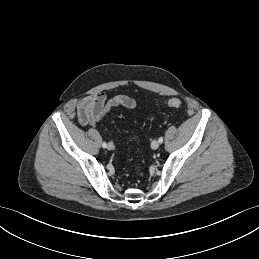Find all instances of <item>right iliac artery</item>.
Listing matches in <instances>:
<instances>
[{
    "label": "right iliac artery",
    "mask_w": 259,
    "mask_h": 259,
    "mask_svg": "<svg viewBox=\"0 0 259 259\" xmlns=\"http://www.w3.org/2000/svg\"><path fill=\"white\" fill-rule=\"evenodd\" d=\"M102 147H103V148H106V147H107L106 142H103V143H102Z\"/></svg>",
    "instance_id": "obj_1"
}]
</instances>
